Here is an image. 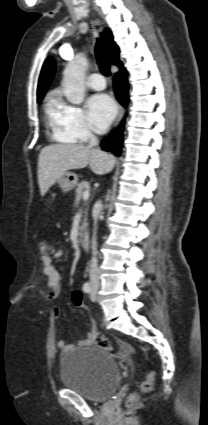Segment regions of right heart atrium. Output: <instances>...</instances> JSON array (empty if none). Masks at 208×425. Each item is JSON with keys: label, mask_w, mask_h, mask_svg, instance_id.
<instances>
[{"label": "right heart atrium", "mask_w": 208, "mask_h": 425, "mask_svg": "<svg viewBox=\"0 0 208 425\" xmlns=\"http://www.w3.org/2000/svg\"><path fill=\"white\" fill-rule=\"evenodd\" d=\"M59 113L61 125L75 141L84 143L92 138L93 135L83 109L60 101Z\"/></svg>", "instance_id": "right-heart-atrium-1"}]
</instances>
